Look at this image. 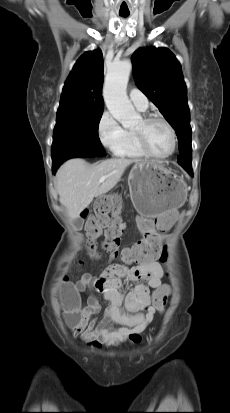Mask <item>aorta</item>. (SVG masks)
I'll list each match as a JSON object with an SVG mask.
<instances>
[{
    "mask_svg": "<svg viewBox=\"0 0 230 413\" xmlns=\"http://www.w3.org/2000/svg\"><path fill=\"white\" fill-rule=\"evenodd\" d=\"M131 70L129 60L113 64L107 72L103 88L107 109L124 127L134 125L140 118L126 93Z\"/></svg>",
    "mask_w": 230,
    "mask_h": 413,
    "instance_id": "762f6f07",
    "label": "aorta"
}]
</instances>
